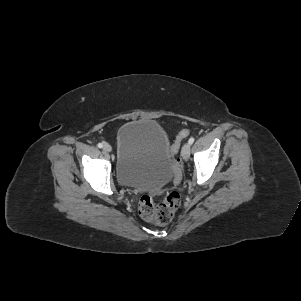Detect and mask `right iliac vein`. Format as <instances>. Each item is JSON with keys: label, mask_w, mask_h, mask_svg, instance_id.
I'll list each match as a JSON object with an SVG mask.
<instances>
[{"label": "right iliac vein", "mask_w": 301, "mask_h": 301, "mask_svg": "<svg viewBox=\"0 0 301 301\" xmlns=\"http://www.w3.org/2000/svg\"><path fill=\"white\" fill-rule=\"evenodd\" d=\"M103 150L105 152H111L112 151V147L108 143H104Z\"/></svg>", "instance_id": "right-iliac-vein-1"}]
</instances>
